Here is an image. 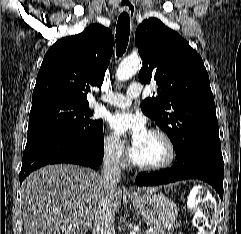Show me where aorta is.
Returning <instances> with one entry per match:
<instances>
[{
	"label": "aorta",
	"instance_id": "obj_1",
	"mask_svg": "<svg viewBox=\"0 0 241 234\" xmlns=\"http://www.w3.org/2000/svg\"><path fill=\"white\" fill-rule=\"evenodd\" d=\"M141 66V59L138 56H129L120 63L116 77L119 81L128 80L140 70Z\"/></svg>",
	"mask_w": 241,
	"mask_h": 234
}]
</instances>
